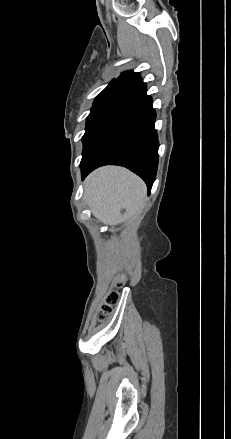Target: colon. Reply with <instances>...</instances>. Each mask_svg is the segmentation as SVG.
<instances>
[{
	"mask_svg": "<svg viewBox=\"0 0 231 439\" xmlns=\"http://www.w3.org/2000/svg\"><path fill=\"white\" fill-rule=\"evenodd\" d=\"M123 284H124V279H119L117 282V286L121 287ZM118 301H119V293L117 291H112L107 295L105 303L102 304L100 307L99 316H98L100 321L105 320L110 315L113 307L118 303Z\"/></svg>",
	"mask_w": 231,
	"mask_h": 439,
	"instance_id": "colon-1",
	"label": "colon"
}]
</instances>
